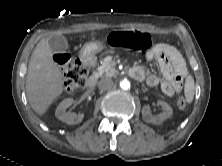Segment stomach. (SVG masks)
<instances>
[{
    "mask_svg": "<svg viewBox=\"0 0 222 166\" xmlns=\"http://www.w3.org/2000/svg\"><path fill=\"white\" fill-rule=\"evenodd\" d=\"M103 49L104 45L101 41H93L84 46L83 53L85 56H93L96 53L101 52Z\"/></svg>",
    "mask_w": 222,
    "mask_h": 166,
    "instance_id": "1",
    "label": "stomach"
}]
</instances>
